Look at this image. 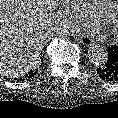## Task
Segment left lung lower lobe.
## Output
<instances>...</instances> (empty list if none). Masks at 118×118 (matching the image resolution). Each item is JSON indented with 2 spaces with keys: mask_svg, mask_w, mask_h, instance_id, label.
Listing matches in <instances>:
<instances>
[{
  "mask_svg": "<svg viewBox=\"0 0 118 118\" xmlns=\"http://www.w3.org/2000/svg\"><path fill=\"white\" fill-rule=\"evenodd\" d=\"M106 51L107 59L97 69V73L106 81L118 83V47H108Z\"/></svg>",
  "mask_w": 118,
  "mask_h": 118,
  "instance_id": "left-lung-lower-lobe-1",
  "label": "left lung lower lobe"
}]
</instances>
